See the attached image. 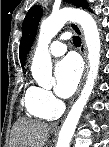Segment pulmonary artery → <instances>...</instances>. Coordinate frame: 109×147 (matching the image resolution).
Masks as SVG:
<instances>
[{"label": "pulmonary artery", "mask_w": 109, "mask_h": 147, "mask_svg": "<svg viewBox=\"0 0 109 147\" xmlns=\"http://www.w3.org/2000/svg\"><path fill=\"white\" fill-rule=\"evenodd\" d=\"M70 37L71 34L68 33L58 36L50 45V54L54 57L62 56L67 51V47L64 42L69 40Z\"/></svg>", "instance_id": "pulmonary-artery-1"}]
</instances>
